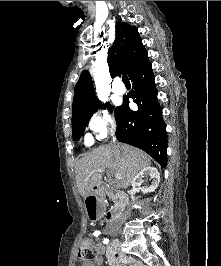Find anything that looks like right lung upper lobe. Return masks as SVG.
Segmentation results:
<instances>
[{
    "label": "right lung upper lobe",
    "instance_id": "cb5924a9",
    "mask_svg": "<svg viewBox=\"0 0 221 266\" xmlns=\"http://www.w3.org/2000/svg\"><path fill=\"white\" fill-rule=\"evenodd\" d=\"M116 38L108 50V66L111 77L130 74L139 66L148 61L138 30L125 22H117L115 25ZM98 100L95 96L92 78L89 71L84 70L74 89L72 105V118L91 111Z\"/></svg>",
    "mask_w": 221,
    "mask_h": 266
}]
</instances>
